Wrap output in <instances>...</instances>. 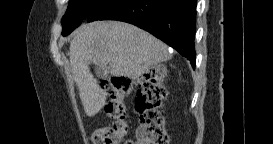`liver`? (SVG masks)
<instances>
[{"label":"liver","mask_w":273,"mask_h":144,"mask_svg":"<svg viewBox=\"0 0 273 144\" xmlns=\"http://www.w3.org/2000/svg\"><path fill=\"white\" fill-rule=\"evenodd\" d=\"M69 58L84 111L92 117L105 105L108 93L94 79L90 62L116 77L135 80L151 66L169 60L171 54L166 44L134 25L97 21L77 30L70 41Z\"/></svg>","instance_id":"1"}]
</instances>
